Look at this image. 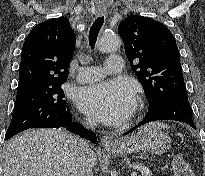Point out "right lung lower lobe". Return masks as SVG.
I'll list each match as a JSON object with an SVG mask.
<instances>
[{
    "label": "right lung lower lobe",
    "instance_id": "1",
    "mask_svg": "<svg viewBox=\"0 0 205 176\" xmlns=\"http://www.w3.org/2000/svg\"><path fill=\"white\" fill-rule=\"evenodd\" d=\"M72 121V116L69 112L61 116L60 118H55V119H48L43 122H40L36 125H34L31 128H60V127H65L67 130L76 133L80 135L81 137H84L88 140H90L93 143H96V135L89 131L86 130L82 125L73 122Z\"/></svg>",
    "mask_w": 205,
    "mask_h": 176
}]
</instances>
